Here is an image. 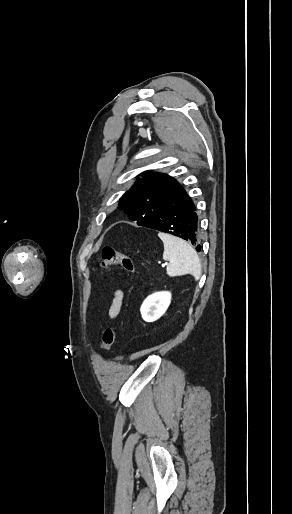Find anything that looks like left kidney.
Wrapping results in <instances>:
<instances>
[{"label": "left kidney", "instance_id": "obj_1", "mask_svg": "<svg viewBox=\"0 0 292 514\" xmlns=\"http://www.w3.org/2000/svg\"><path fill=\"white\" fill-rule=\"evenodd\" d=\"M171 302L170 292H155L144 300L140 312L145 322H155L165 314Z\"/></svg>", "mask_w": 292, "mask_h": 514}]
</instances>
